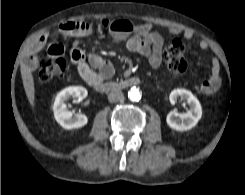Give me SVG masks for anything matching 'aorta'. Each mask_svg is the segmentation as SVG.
Listing matches in <instances>:
<instances>
[{
	"mask_svg": "<svg viewBox=\"0 0 245 195\" xmlns=\"http://www.w3.org/2000/svg\"><path fill=\"white\" fill-rule=\"evenodd\" d=\"M128 98L131 101H139L141 99V94L139 92V90L136 87H132L129 92H128Z\"/></svg>",
	"mask_w": 245,
	"mask_h": 195,
	"instance_id": "762f6f07",
	"label": "aorta"
}]
</instances>
